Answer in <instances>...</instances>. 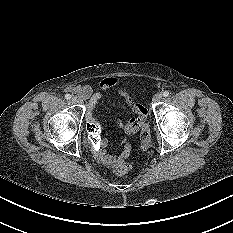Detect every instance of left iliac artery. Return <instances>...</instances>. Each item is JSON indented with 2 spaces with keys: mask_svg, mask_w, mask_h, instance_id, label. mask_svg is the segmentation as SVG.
<instances>
[{
  "mask_svg": "<svg viewBox=\"0 0 233 233\" xmlns=\"http://www.w3.org/2000/svg\"><path fill=\"white\" fill-rule=\"evenodd\" d=\"M163 96H164V97H168V96H169V92H168V91H164V92H163Z\"/></svg>",
  "mask_w": 233,
  "mask_h": 233,
  "instance_id": "left-iliac-artery-1",
  "label": "left iliac artery"
}]
</instances>
